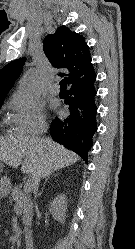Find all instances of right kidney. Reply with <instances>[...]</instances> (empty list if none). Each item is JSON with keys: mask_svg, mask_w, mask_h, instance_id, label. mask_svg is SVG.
Here are the masks:
<instances>
[{"mask_svg": "<svg viewBox=\"0 0 135 249\" xmlns=\"http://www.w3.org/2000/svg\"><path fill=\"white\" fill-rule=\"evenodd\" d=\"M67 210V199L64 194L58 195L51 202L49 211L52 214L54 220L63 222L65 220Z\"/></svg>", "mask_w": 135, "mask_h": 249, "instance_id": "right-kidney-1", "label": "right kidney"}]
</instances>
